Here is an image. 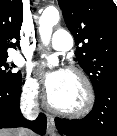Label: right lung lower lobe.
Instances as JSON below:
<instances>
[{
  "mask_svg": "<svg viewBox=\"0 0 117 136\" xmlns=\"http://www.w3.org/2000/svg\"><path fill=\"white\" fill-rule=\"evenodd\" d=\"M20 95L21 80L9 85H0V128L27 127L40 135L45 134V114L40 113L34 121L25 120L19 108Z\"/></svg>",
  "mask_w": 117,
  "mask_h": 136,
  "instance_id": "1",
  "label": "right lung lower lobe"
}]
</instances>
